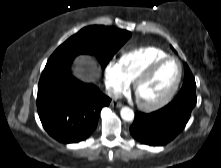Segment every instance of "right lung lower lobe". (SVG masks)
Segmentation results:
<instances>
[{
	"mask_svg": "<svg viewBox=\"0 0 221 168\" xmlns=\"http://www.w3.org/2000/svg\"><path fill=\"white\" fill-rule=\"evenodd\" d=\"M73 59L48 60L39 80L37 110L46 132L62 143L87 139L111 99L70 72Z\"/></svg>",
	"mask_w": 221,
	"mask_h": 168,
	"instance_id": "98d812e1",
	"label": "right lung lower lobe"
}]
</instances>
